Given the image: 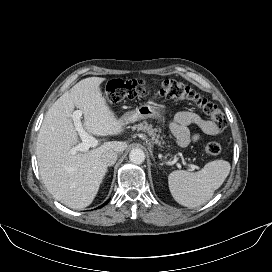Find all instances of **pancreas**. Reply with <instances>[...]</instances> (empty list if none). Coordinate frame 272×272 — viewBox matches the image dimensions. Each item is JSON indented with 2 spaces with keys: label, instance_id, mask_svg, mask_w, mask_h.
<instances>
[{
  "label": "pancreas",
  "instance_id": "obj_1",
  "mask_svg": "<svg viewBox=\"0 0 272 272\" xmlns=\"http://www.w3.org/2000/svg\"><path fill=\"white\" fill-rule=\"evenodd\" d=\"M134 129H136L137 131L147 132V134L152 137V140H154V143L161 145V141L158 140L159 135L156 134L157 129H154L153 126L151 124H148L146 121L135 125Z\"/></svg>",
  "mask_w": 272,
  "mask_h": 272
}]
</instances>
